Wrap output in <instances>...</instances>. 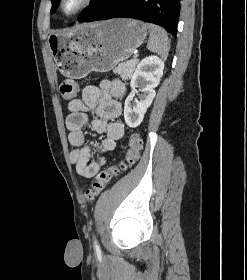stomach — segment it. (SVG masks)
Returning a JSON list of instances; mask_svg holds the SVG:
<instances>
[{
    "label": "stomach",
    "instance_id": "0dacf381",
    "mask_svg": "<svg viewBox=\"0 0 247 280\" xmlns=\"http://www.w3.org/2000/svg\"><path fill=\"white\" fill-rule=\"evenodd\" d=\"M146 36L147 27L142 21L116 18L51 35L48 45L60 72L80 79L92 71L112 70L127 60Z\"/></svg>",
    "mask_w": 247,
    "mask_h": 280
}]
</instances>
